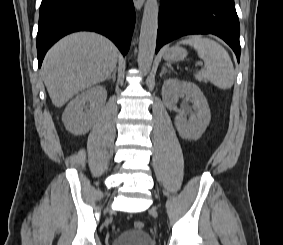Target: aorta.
Masks as SVG:
<instances>
[{"label":"aorta","mask_w":283,"mask_h":245,"mask_svg":"<svg viewBox=\"0 0 283 245\" xmlns=\"http://www.w3.org/2000/svg\"><path fill=\"white\" fill-rule=\"evenodd\" d=\"M159 6L157 0H147L144 6L139 38V69L148 73L151 69L158 29Z\"/></svg>","instance_id":"obj_1"}]
</instances>
